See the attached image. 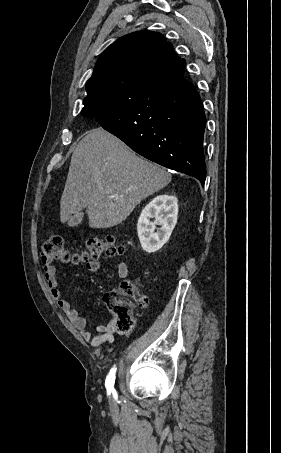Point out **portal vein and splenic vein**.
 <instances>
[{"label": "portal vein and splenic vein", "mask_w": 281, "mask_h": 453, "mask_svg": "<svg viewBox=\"0 0 281 453\" xmlns=\"http://www.w3.org/2000/svg\"><path fill=\"white\" fill-rule=\"evenodd\" d=\"M106 194H109V190H105ZM112 198H118L117 194H112Z\"/></svg>", "instance_id": "portal-vein-and-splenic-vein-1"}]
</instances>
